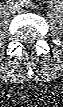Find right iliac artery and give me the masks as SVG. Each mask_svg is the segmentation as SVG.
Returning a JSON list of instances; mask_svg holds the SVG:
<instances>
[{
	"label": "right iliac artery",
	"instance_id": "obj_1",
	"mask_svg": "<svg viewBox=\"0 0 63 107\" xmlns=\"http://www.w3.org/2000/svg\"><path fill=\"white\" fill-rule=\"evenodd\" d=\"M8 4H13L14 2L12 0L7 1ZM17 4V3H16ZM17 6V5H16Z\"/></svg>",
	"mask_w": 63,
	"mask_h": 107
}]
</instances>
